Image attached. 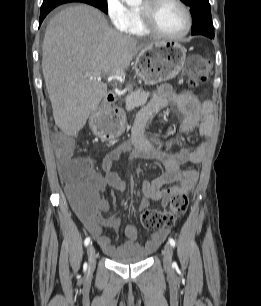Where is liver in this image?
I'll list each match as a JSON object with an SVG mask.
<instances>
[{"label": "liver", "instance_id": "1", "mask_svg": "<svg viewBox=\"0 0 261 306\" xmlns=\"http://www.w3.org/2000/svg\"><path fill=\"white\" fill-rule=\"evenodd\" d=\"M153 44L118 33L89 5L56 14L45 31L42 71L60 130L76 135L107 95V84L94 73L124 71L139 51Z\"/></svg>", "mask_w": 261, "mask_h": 306}]
</instances>
